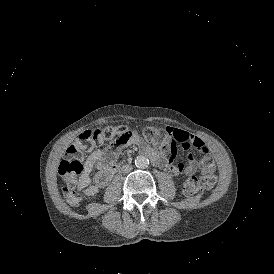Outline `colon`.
<instances>
[{
	"instance_id": "colon-1",
	"label": "colon",
	"mask_w": 274,
	"mask_h": 274,
	"mask_svg": "<svg viewBox=\"0 0 274 274\" xmlns=\"http://www.w3.org/2000/svg\"><path fill=\"white\" fill-rule=\"evenodd\" d=\"M167 126L156 127L147 126L143 129L144 138L152 143L162 153L164 146H170V142L175 140L174 135H167ZM103 137L115 146L126 145L128 140L136 139L135 131H127L123 127H112L104 130L94 129L91 132L83 131L78 135L77 141L67 149L65 159L60 162L58 171L61 174L64 184L63 191L66 202L71 206H77L80 202L77 179L83 171V149H97L98 138ZM206 189L196 178L188 179L186 191L193 195L198 191Z\"/></svg>"
}]
</instances>
